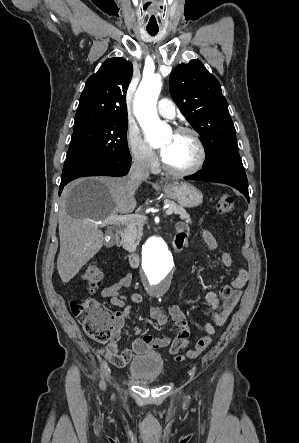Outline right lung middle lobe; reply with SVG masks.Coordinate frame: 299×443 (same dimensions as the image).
I'll list each match as a JSON object with an SVG mask.
<instances>
[{
	"mask_svg": "<svg viewBox=\"0 0 299 443\" xmlns=\"http://www.w3.org/2000/svg\"><path fill=\"white\" fill-rule=\"evenodd\" d=\"M127 126V119H105L74 127L61 182L102 163L130 161Z\"/></svg>",
	"mask_w": 299,
	"mask_h": 443,
	"instance_id": "right-lung-middle-lobe-1",
	"label": "right lung middle lobe"
}]
</instances>
